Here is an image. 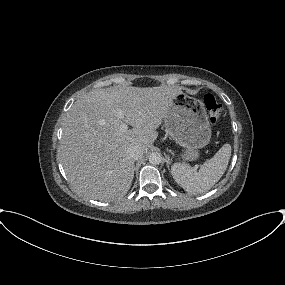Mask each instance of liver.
Wrapping results in <instances>:
<instances>
[{"instance_id": "6515ba94", "label": "liver", "mask_w": 285, "mask_h": 285, "mask_svg": "<svg viewBox=\"0 0 285 285\" xmlns=\"http://www.w3.org/2000/svg\"><path fill=\"white\" fill-rule=\"evenodd\" d=\"M181 88L112 87L95 89L78 98L62 125L59 159L77 191L96 200H114L127 194L134 177V161L127 150L143 153L158 136L157 128ZM122 110L124 119L117 117ZM122 123L132 126L121 131Z\"/></svg>"}]
</instances>
